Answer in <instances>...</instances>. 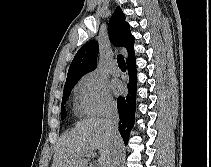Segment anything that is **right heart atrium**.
I'll list each match as a JSON object with an SVG mask.
<instances>
[{"mask_svg":"<svg viewBox=\"0 0 211 167\" xmlns=\"http://www.w3.org/2000/svg\"><path fill=\"white\" fill-rule=\"evenodd\" d=\"M78 109L90 116H101L111 112L114 100L108 92L105 80L96 72L82 76L77 83Z\"/></svg>","mask_w":211,"mask_h":167,"instance_id":"d8ad5b80","label":"right heart atrium"}]
</instances>
